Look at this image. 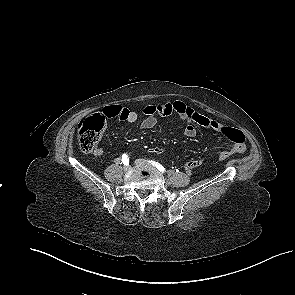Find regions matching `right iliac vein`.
I'll return each instance as SVG.
<instances>
[{
	"label": "right iliac vein",
	"mask_w": 295,
	"mask_h": 295,
	"mask_svg": "<svg viewBox=\"0 0 295 295\" xmlns=\"http://www.w3.org/2000/svg\"><path fill=\"white\" fill-rule=\"evenodd\" d=\"M130 169H131V167H130L129 165H125V166H124V171H125V172H129Z\"/></svg>",
	"instance_id": "1"
}]
</instances>
